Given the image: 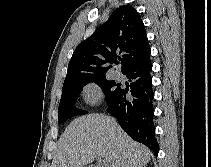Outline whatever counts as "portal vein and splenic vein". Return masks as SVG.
I'll return each instance as SVG.
<instances>
[{"label":"portal vein and splenic vein","instance_id":"1","mask_svg":"<svg viewBox=\"0 0 211 167\" xmlns=\"http://www.w3.org/2000/svg\"><path fill=\"white\" fill-rule=\"evenodd\" d=\"M98 167H105L106 163L101 158L97 159Z\"/></svg>","mask_w":211,"mask_h":167}]
</instances>
